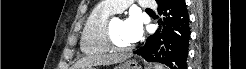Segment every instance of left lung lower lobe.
I'll return each mask as SVG.
<instances>
[{
  "instance_id": "obj_1",
  "label": "left lung lower lobe",
  "mask_w": 246,
  "mask_h": 69,
  "mask_svg": "<svg viewBox=\"0 0 246 69\" xmlns=\"http://www.w3.org/2000/svg\"><path fill=\"white\" fill-rule=\"evenodd\" d=\"M157 3L161 27L134 53L147 61L166 64L170 69H187L190 29L185 0H157Z\"/></svg>"
}]
</instances>
